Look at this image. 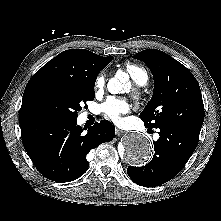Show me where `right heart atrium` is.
<instances>
[{
    "label": "right heart atrium",
    "mask_w": 221,
    "mask_h": 221,
    "mask_svg": "<svg viewBox=\"0 0 221 221\" xmlns=\"http://www.w3.org/2000/svg\"><path fill=\"white\" fill-rule=\"evenodd\" d=\"M106 79L104 73H100L94 82V89L96 93L103 91L105 87Z\"/></svg>",
    "instance_id": "right-heart-atrium-1"
}]
</instances>
